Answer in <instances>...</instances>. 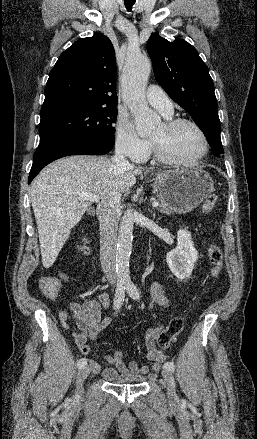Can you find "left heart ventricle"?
I'll return each instance as SVG.
<instances>
[{"instance_id":"b2bd125f","label":"left heart ventricle","mask_w":257,"mask_h":439,"mask_svg":"<svg viewBox=\"0 0 257 439\" xmlns=\"http://www.w3.org/2000/svg\"><path fill=\"white\" fill-rule=\"evenodd\" d=\"M151 138L156 139L168 156L176 160H193L203 149L199 134L189 125L168 130L161 124L151 135Z\"/></svg>"}]
</instances>
